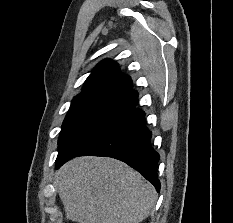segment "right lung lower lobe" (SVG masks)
I'll list each match as a JSON object with an SVG mask.
<instances>
[{
    "mask_svg": "<svg viewBox=\"0 0 233 223\" xmlns=\"http://www.w3.org/2000/svg\"><path fill=\"white\" fill-rule=\"evenodd\" d=\"M124 98L127 102L124 112L80 153L58 154L56 168L75 156L112 157L136 169L159 192L160 182L157 177L159 154L151 147V132L145 125V113L135 109L138 94L130 89L124 94Z\"/></svg>",
    "mask_w": 233,
    "mask_h": 223,
    "instance_id": "obj_1",
    "label": "right lung lower lobe"
}]
</instances>
